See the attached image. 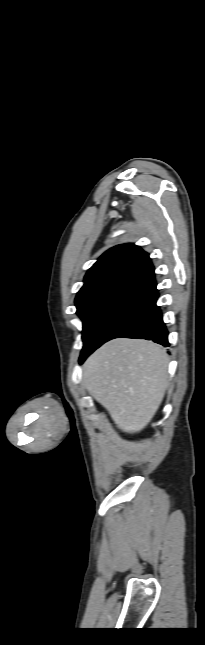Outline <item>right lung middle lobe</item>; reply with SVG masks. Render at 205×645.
<instances>
[{
	"label": "right lung middle lobe",
	"mask_w": 205,
	"mask_h": 645,
	"mask_svg": "<svg viewBox=\"0 0 205 645\" xmlns=\"http://www.w3.org/2000/svg\"><path fill=\"white\" fill-rule=\"evenodd\" d=\"M150 299V291L124 288L93 300L76 304L83 321L81 356L97 349L121 324L138 312Z\"/></svg>",
	"instance_id": "right-lung-middle-lobe-1"
}]
</instances>
